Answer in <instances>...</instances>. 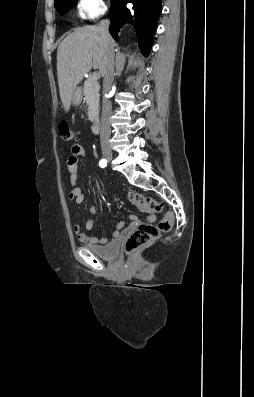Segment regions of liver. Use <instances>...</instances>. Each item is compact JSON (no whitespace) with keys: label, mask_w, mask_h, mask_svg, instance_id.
Listing matches in <instances>:
<instances>
[{"label":"liver","mask_w":254,"mask_h":397,"mask_svg":"<svg viewBox=\"0 0 254 397\" xmlns=\"http://www.w3.org/2000/svg\"><path fill=\"white\" fill-rule=\"evenodd\" d=\"M106 53L100 26L78 28L61 42L57 50V77L65 112L70 109L74 89L92 67L104 74Z\"/></svg>","instance_id":"liver-1"}]
</instances>
